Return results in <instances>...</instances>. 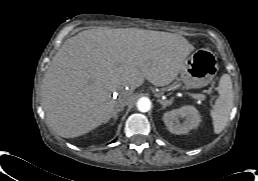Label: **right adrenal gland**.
<instances>
[{
	"label": "right adrenal gland",
	"instance_id": "2a0ac1e0",
	"mask_svg": "<svg viewBox=\"0 0 258 181\" xmlns=\"http://www.w3.org/2000/svg\"><path fill=\"white\" fill-rule=\"evenodd\" d=\"M123 107H116L115 109H114V111H113V113H112V115H111V117L110 118H113L114 119V122L117 120V118H118V113L119 112H121V111H123Z\"/></svg>",
	"mask_w": 258,
	"mask_h": 181
}]
</instances>
